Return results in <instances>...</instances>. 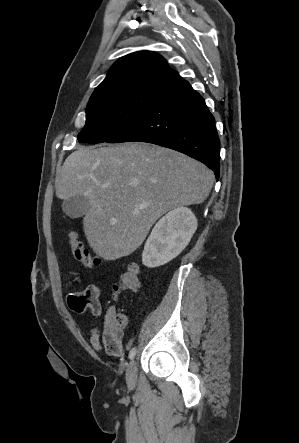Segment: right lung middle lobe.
Wrapping results in <instances>:
<instances>
[{
    "instance_id": "obj_1",
    "label": "right lung middle lobe",
    "mask_w": 299,
    "mask_h": 443,
    "mask_svg": "<svg viewBox=\"0 0 299 443\" xmlns=\"http://www.w3.org/2000/svg\"><path fill=\"white\" fill-rule=\"evenodd\" d=\"M166 90L153 87L120 88L92 95L86 124L77 139L83 143L106 142L130 126Z\"/></svg>"
}]
</instances>
